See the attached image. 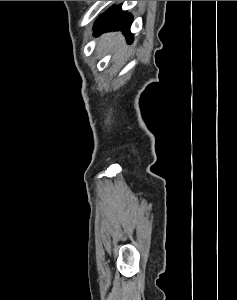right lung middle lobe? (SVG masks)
<instances>
[{
	"label": "right lung middle lobe",
	"mask_w": 237,
	"mask_h": 300,
	"mask_svg": "<svg viewBox=\"0 0 237 300\" xmlns=\"http://www.w3.org/2000/svg\"><path fill=\"white\" fill-rule=\"evenodd\" d=\"M105 14H106V13H105ZM105 14H104V15H105ZM104 15H102L99 19H101ZM99 19H98V20H99Z\"/></svg>",
	"instance_id": "right-lung-middle-lobe-1"
}]
</instances>
